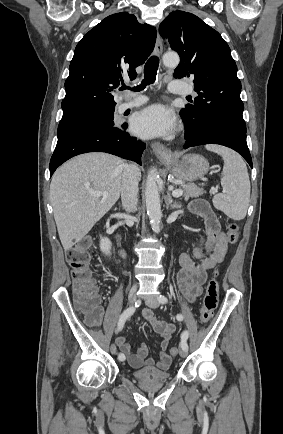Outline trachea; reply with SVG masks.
<instances>
[{
    "mask_svg": "<svg viewBox=\"0 0 283 434\" xmlns=\"http://www.w3.org/2000/svg\"><path fill=\"white\" fill-rule=\"evenodd\" d=\"M159 66V58L157 56H151L148 61L146 62L144 66V79L142 80V83L134 87V91H140L143 90L147 85L153 84L156 80L157 70ZM128 87L122 86L120 90H125Z\"/></svg>",
    "mask_w": 283,
    "mask_h": 434,
    "instance_id": "1",
    "label": "trachea"
}]
</instances>
